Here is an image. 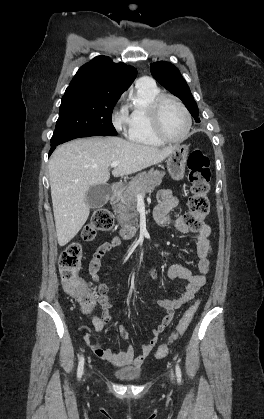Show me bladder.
Here are the masks:
<instances>
[{
  "instance_id": "31cf9c89",
  "label": "bladder",
  "mask_w": 264,
  "mask_h": 419,
  "mask_svg": "<svg viewBox=\"0 0 264 419\" xmlns=\"http://www.w3.org/2000/svg\"><path fill=\"white\" fill-rule=\"evenodd\" d=\"M114 376L121 381H137L141 378L142 372L137 368H126L114 371Z\"/></svg>"
}]
</instances>
